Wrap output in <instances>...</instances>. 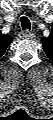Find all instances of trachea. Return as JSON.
<instances>
[{"mask_svg": "<svg viewBox=\"0 0 53 120\" xmlns=\"http://www.w3.org/2000/svg\"><path fill=\"white\" fill-rule=\"evenodd\" d=\"M21 26H22V29L25 30V29H31V23L29 21V19L27 17H22L21 18Z\"/></svg>", "mask_w": 53, "mask_h": 120, "instance_id": "trachea-1", "label": "trachea"}]
</instances>
